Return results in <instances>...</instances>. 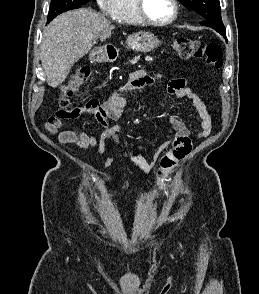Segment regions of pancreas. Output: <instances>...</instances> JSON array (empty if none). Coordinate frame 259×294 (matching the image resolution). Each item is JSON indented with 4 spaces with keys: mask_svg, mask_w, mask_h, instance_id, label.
I'll return each mask as SVG.
<instances>
[{
    "mask_svg": "<svg viewBox=\"0 0 259 294\" xmlns=\"http://www.w3.org/2000/svg\"><path fill=\"white\" fill-rule=\"evenodd\" d=\"M139 60V57H135L133 60H131L130 62L132 63V64H135V63H137V61ZM147 61H153V58L152 57H147V59H146Z\"/></svg>",
    "mask_w": 259,
    "mask_h": 294,
    "instance_id": "obj_1",
    "label": "pancreas"
}]
</instances>
